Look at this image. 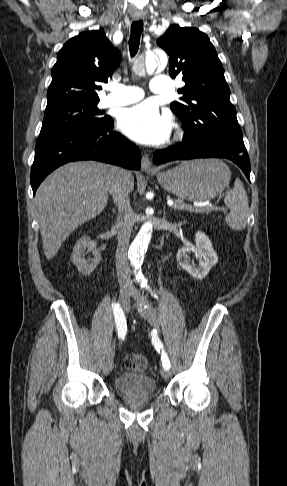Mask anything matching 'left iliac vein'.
Instances as JSON below:
<instances>
[{"instance_id": "obj_1", "label": "left iliac vein", "mask_w": 287, "mask_h": 486, "mask_svg": "<svg viewBox=\"0 0 287 486\" xmlns=\"http://www.w3.org/2000/svg\"><path fill=\"white\" fill-rule=\"evenodd\" d=\"M136 300L140 303V309L139 312L140 314L155 328H158L160 325V320L157 315L156 310L153 308V306L150 305L148 299L146 297H138L135 296ZM147 305L146 308L143 306ZM161 376L167 380L171 377V372L167 369H162L161 370Z\"/></svg>"}]
</instances>
